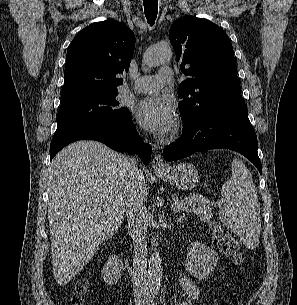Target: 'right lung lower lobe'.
I'll list each match as a JSON object with an SVG mask.
<instances>
[{
	"mask_svg": "<svg viewBox=\"0 0 297 305\" xmlns=\"http://www.w3.org/2000/svg\"><path fill=\"white\" fill-rule=\"evenodd\" d=\"M85 139L100 141L118 152L132 154L137 152L145 164L149 162L151 157L150 145L140 140L130 116L126 121L91 123L70 131L59 140L51 142V159L69 143Z\"/></svg>",
	"mask_w": 297,
	"mask_h": 305,
	"instance_id": "right-lung-lower-lobe-1",
	"label": "right lung lower lobe"
}]
</instances>
